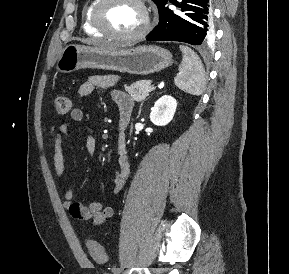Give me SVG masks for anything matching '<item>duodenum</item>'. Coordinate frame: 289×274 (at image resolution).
<instances>
[{
    "label": "duodenum",
    "mask_w": 289,
    "mask_h": 274,
    "mask_svg": "<svg viewBox=\"0 0 289 274\" xmlns=\"http://www.w3.org/2000/svg\"><path fill=\"white\" fill-rule=\"evenodd\" d=\"M131 115L128 112H122L119 117V130L124 133L130 121Z\"/></svg>",
    "instance_id": "1"
}]
</instances>
